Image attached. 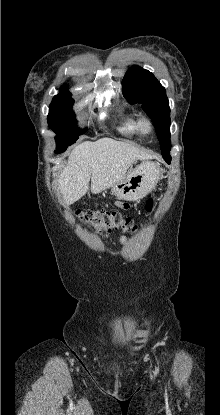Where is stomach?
<instances>
[{"label": "stomach", "mask_w": 220, "mask_h": 415, "mask_svg": "<svg viewBox=\"0 0 220 415\" xmlns=\"http://www.w3.org/2000/svg\"><path fill=\"white\" fill-rule=\"evenodd\" d=\"M161 170L151 161H143L130 171L120 182L111 187V192L118 199L136 201L146 196L158 183Z\"/></svg>", "instance_id": "0dacf381"}]
</instances>
